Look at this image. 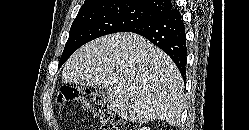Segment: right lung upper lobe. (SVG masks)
Masks as SVG:
<instances>
[{"mask_svg": "<svg viewBox=\"0 0 249 130\" xmlns=\"http://www.w3.org/2000/svg\"><path fill=\"white\" fill-rule=\"evenodd\" d=\"M100 2L129 4L148 11H153L158 15H162L172 9V3L170 0H85L82 6Z\"/></svg>", "mask_w": 249, "mask_h": 130, "instance_id": "cb5924a9", "label": "right lung upper lobe"}]
</instances>
